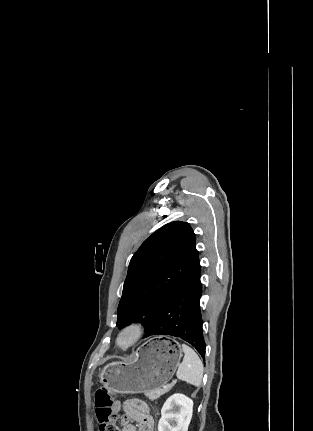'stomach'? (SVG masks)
Wrapping results in <instances>:
<instances>
[{"instance_id": "stomach-1", "label": "stomach", "mask_w": 313, "mask_h": 431, "mask_svg": "<svg viewBox=\"0 0 313 431\" xmlns=\"http://www.w3.org/2000/svg\"><path fill=\"white\" fill-rule=\"evenodd\" d=\"M181 357L178 342L155 337L139 347L129 360L106 365L100 373V382L108 390L121 394L162 389L173 377Z\"/></svg>"}]
</instances>
